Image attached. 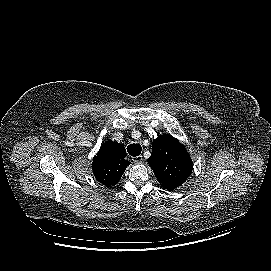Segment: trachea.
Instances as JSON below:
<instances>
[{
    "label": "trachea",
    "mask_w": 271,
    "mask_h": 271,
    "mask_svg": "<svg viewBox=\"0 0 271 271\" xmlns=\"http://www.w3.org/2000/svg\"><path fill=\"white\" fill-rule=\"evenodd\" d=\"M127 151L129 153V155L136 157L141 154L142 147L139 144H130L127 147Z\"/></svg>",
    "instance_id": "obj_1"
}]
</instances>
